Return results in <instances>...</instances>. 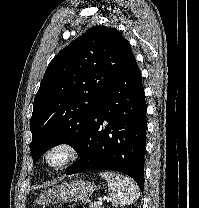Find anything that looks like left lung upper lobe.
<instances>
[{
  "mask_svg": "<svg viewBox=\"0 0 199 208\" xmlns=\"http://www.w3.org/2000/svg\"><path fill=\"white\" fill-rule=\"evenodd\" d=\"M134 59L122 34L101 25L53 58L34 98L30 120L34 162L60 142L78 149L95 106Z\"/></svg>",
  "mask_w": 199,
  "mask_h": 208,
  "instance_id": "left-lung-upper-lobe-1",
  "label": "left lung upper lobe"
}]
</instances>
